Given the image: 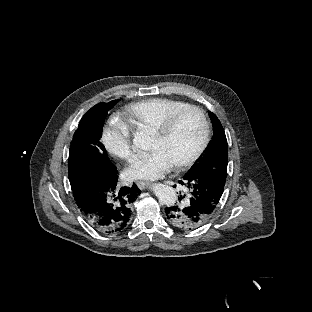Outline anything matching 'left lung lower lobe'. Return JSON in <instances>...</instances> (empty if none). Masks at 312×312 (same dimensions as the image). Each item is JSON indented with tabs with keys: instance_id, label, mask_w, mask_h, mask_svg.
<instances>
[{
	"instance_id": "0a47b994",
	"label": "left lung lower lobe",
	"mask_w": 312,
	"mask_h": 312,
	"mask_svg": "<svg viewBox=\"0 0 312 312\" xmlns=\"http://www.w3.org/2000/svg\"><path fill=\"white\" fill-rule=\"evenodd\" d=\"M227 172L210 171L193 179L179 181L190 189L189 203L183 208L173 206L165 209L167 219L174 225L191 230L209 221L218 209ZM185 197V195H184Z\"/></svg>"
}]
</instances>
